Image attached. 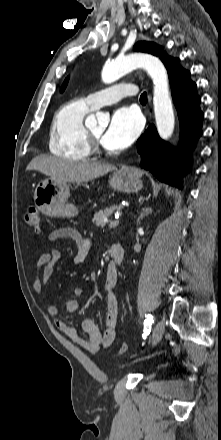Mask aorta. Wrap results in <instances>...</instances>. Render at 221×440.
I'll list each match as a JSON object with an SVG mask.
<instances>
[{
  "label": "aorta",
  "mask_w": 221,
  "mask_h": 440,
  "mask_svg": "<svg viewBox=\"0 0 221 440\" xmlns=\"http://www.w3.org/2000/svg\"><path fill=\"white\" fill-rule=\"evenodd\" d=\"M136 68H144L153 80L156 127L160 137L167 140L173 134L175 118L169 94L167 71L158 58L144 53H134L117 58L104 66L102 80L107 84L113 83ZM99 117H102L101 113L90 116L89 120L94 123Z\"/></svg>",
  "instance_id": "762f6f07"
}]
</instances>
